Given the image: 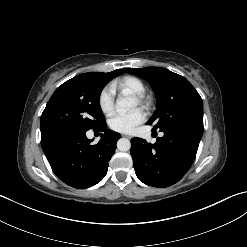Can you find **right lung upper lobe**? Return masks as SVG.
Instances as JSON below:
<instances>
[{"label":"right lung upper lobe","mask_w":247,"mask_h":247,"mask_svg":"<svg viewBox=\"0 0 247 247\" xmlns=\"http://www.w3.org/2000/svg\"><path fill=\"white\" fill-rule=\"evenodd\" d=\"M124 73V69L121 70V69H117V70H114L112 72H109V73H98L102 78L110 81L111 79L117 77L118 75Z\"/></svg>","instance_id":"obj_1"}]
</instances>
